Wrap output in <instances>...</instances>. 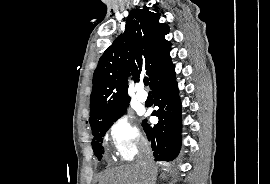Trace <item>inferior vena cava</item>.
<instances>
[{
  "label": "inferior vena cava",
  "mask_w": 270,
  "mask_h": 184,
  "mask_svg": "<svg viewBox=\"0 0 270 184\" xmlns=\"http://www.w3.org/2000/svg\"><path fill=\"white\" fill-rule=\"evenodd\" d=\"M137 164L143 167L144 169L154 171L152 151L147 142H143L141 145V154Z\"/></svg>",
  "instance_id": "obj_1"
}]
</instances>
